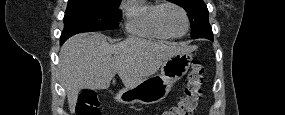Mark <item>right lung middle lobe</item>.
Returning a JSON list of instances; mask_svg holds the SVG:
<instances>
[{
	"instance_id": "dd1d6c3e",
	"label": "right lung middle lobe",
	"mask_w": 285,
	"mask_h": 115,
	"mask_svg": "<svg viewBox=\"0 0 285 115\" xmlns=\"http://www.w3.org/2000/svg\"><path fill=\"white\" fill-rule=\"evenodd\" d=\"M121 0H69L64 16L61 44L81 32L115 29L122 18Z\"/></svg>"
}]
</instances>
